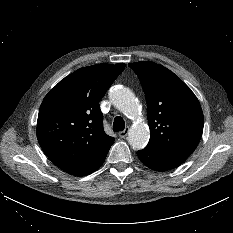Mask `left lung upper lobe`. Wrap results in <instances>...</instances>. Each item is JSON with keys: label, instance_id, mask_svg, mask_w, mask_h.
Segmentation results:
<instances>
[{"label": "left lung upper lobe", "instance_id": "1", "mask_svg": "<svg viewBox=\"0 0 233 233\" xmlns=\"http://www.w3.org/2000/svg\"><path fill=\"white\" fill-rule=\"evenodd\" d=\"M140 79L148 108L147 148L189 156L203 131V112L191 89L173 72L154 62L130 63Z\"/></svg>", "mask_w": 233, "mask_h": 233}]
</instances>
